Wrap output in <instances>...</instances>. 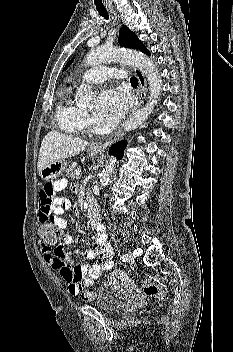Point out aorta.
Segmentation results:
<instances>
[{"mask_svg":"<svg viewBox=\"0 0 233 352\" xmlns=\"http://www.w3.org/2000/svg\"><path fill=\"white\" fill-rule=\"evenodd\" d=\"M107 61H124L132 63L141 70L148 80L150 90L149 101L143 108L135 111L129 116L124 125L126 131L134 130L146 121L153 112L162 91L161 77L155 64L141 52L118 48L98 47L92 49L86 56V64L88 66H95ZM75 98L79 104H90L95 99V95L90 87L87 85H81L77 89ZM115 163V158L110 157L100 176L101 189L108 184Z\"/></svg>","mask_w":233,"mask_h":352,"instance_id":"1","label":"aorta"}]
</instances>
